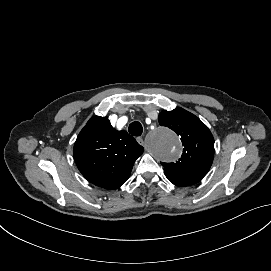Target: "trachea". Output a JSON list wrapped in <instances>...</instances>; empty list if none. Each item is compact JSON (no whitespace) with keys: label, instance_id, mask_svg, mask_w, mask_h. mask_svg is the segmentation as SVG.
Segmentation results:
<instances>
[{"label":"trachea","instance_id":"3493384b","mask_svg":"<svg viewBox=\"0 0 271 271\" xmlns=\"http://www.w3.org/2000/svg\"><path fill=\"white\" fill-rule=\"evenodd\" d=\"M128 131L133 136H140L143 132V127L140 122L134 121L129 125Z\"/></svg>","mask_w":271,"mask_h":271}]
</instances>
